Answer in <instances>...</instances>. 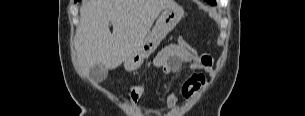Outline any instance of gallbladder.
Instances as JSON below:
<instances>
[{
    "label": "gallbladder",
    "instance_id": "bac80fb5",
    "mask_svg": "<svg viewBox=\"0 0 305 116\" xmlns=\"http://www.w3.org/2000/svg\"><path fill=\"white\" fill-rule=\"evenodd\" d=\"M108 75V69L102 64H96L90 69L89 77L95 83L103 82Z\"/></svg>",
    "mask_w": 305,
    "mask_h": 116
}]
</instances>
